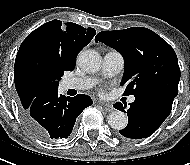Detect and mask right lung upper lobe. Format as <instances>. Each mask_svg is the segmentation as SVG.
Wrapping results in <instances>:
<instances>
[{
	"mask_svg": "<svg viewBox=\"0 0 190 165\" xmlns=\"http://www.w3.org/2000/svg\"><path fill=\"white\" fill-rule=\"evenodd\" d=\"M94 28L53 20L30 33L22 42L14 65V82L20 106L26 109L41 93L36 73L41 65L72 71L77 54L95 36Z\"/></svg>",
	"mask_w": 190,
	"mask_h": 165,
	"instance_id": "1",
	"label": "right lung upper lobe"
}]
</instances>
